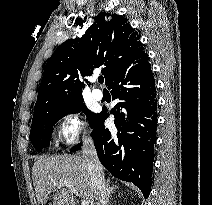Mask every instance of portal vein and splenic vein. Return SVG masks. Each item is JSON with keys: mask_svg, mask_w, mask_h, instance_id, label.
<instances>
[{"mask_svg": "<svg viewBox=\"0 0 212 205\" xmlns=\"http://www.w3.org/2000/svg\"><path fill=\"white\" fill-rule=\"evenodd\" d=\"M62 186H66L69 188V190L75 194L76 196H79V193L77 192V190L74 188L73 185L67 183V182H63V183H60V185L58 186V188L62 187ZM81 205H89V201L87 200H82L81 202Z\"/></svg>", "mask_w": 212, "mask_h": 205, "instance_id": "18ae733b", "label": "portal vein and splenic vein"}]
</instances>
